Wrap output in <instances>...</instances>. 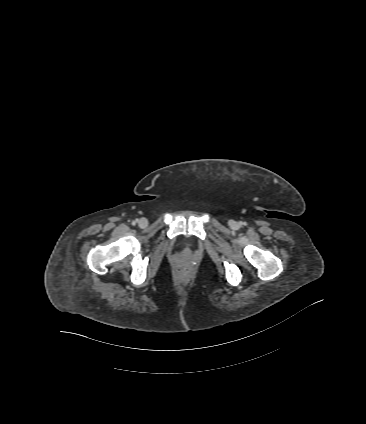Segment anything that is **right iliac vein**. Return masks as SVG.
Here are the masks:
<instances>
[{
	"instance_id": "obj_1",
	"label": "right iliac vein",
	"mask_w": 366,
	"mask_h": 424,
	"mask_svg": "<svg viewBox=\"0 0 366 424\" xmlns=\"http://www.w3.org/2000/svg\"><path fill=\"white\" fill-rule=\"evenodd\" d=\"M147 225H148V220H147L146 218H141V219L139 220V226H140L141 228H145Z\"/></svg>"
}]
</instances>
